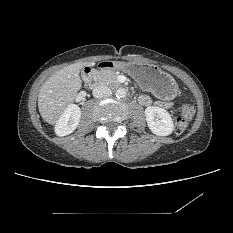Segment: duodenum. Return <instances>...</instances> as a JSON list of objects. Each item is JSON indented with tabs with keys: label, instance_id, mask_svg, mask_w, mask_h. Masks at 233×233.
I'll return each mask as SVG.
<instances>
[{
	"label": "duodenum",
	"instance_id": "1",
	"mask_svg": "<svg viewBox=\"0 0 233 233\" xmlns=\"http://www.w3.org/2000/svg\"><path fill=\"white\" fill-rule=\"evenodd\" d=\"M118 67L117 62L115 61H105L98 63L95 67H89L86 68L85 71L82 73V80L85 84L90 85L93 80V74L95 71L100 70V69H115Z\"/></svg>",
	"mask_w": 233,
	"mask_h": 233
}]
</instances>
